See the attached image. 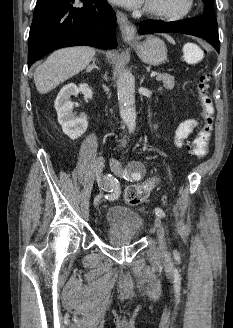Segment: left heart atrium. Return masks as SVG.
<instances>
[{"label":"left heart atrium","mask_w":233,"mask_h":328,"mask_svg":"<svg viewBox=\"0 0 233 328\" xmlns=\"http://www.w3.org/2000/svg\"><path fill=\"white\" fill-rule=\"evenodd\" d=\"M112 3L130 8L135 9L139 8L142 5L146 4L148 0H110Z\"/></svg>","instance_id":"left-heart-atrium-1"}]
</instances>
